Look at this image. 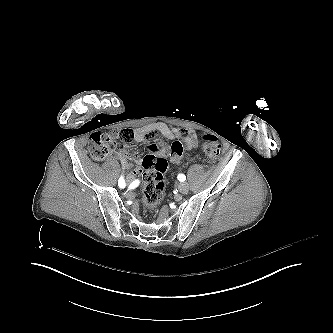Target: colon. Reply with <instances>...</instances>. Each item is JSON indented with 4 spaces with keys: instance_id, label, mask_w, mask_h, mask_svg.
I'll return each instance as SVG.
<instances>
[{
    "instance_id": "colon-1",
    "label": "colon",
    "mask_w": 333,
    "mask_h": 333,
    "mask_svg": "<svg viewBox=\"0 0 333 333\" xmlns=\"http://www.w3.org/2000/svg\"><path fill=\"white\" fill-rule=\"evenodd\" d=\"M158 135L156 129H149L146 134L139 133L135 137V144H142L145 140L152 141ZM120 139L124 143H133L134 133L130 129H124L120 133ZM118 135L114 131L102 129L95 133L89 140V152L93 159L102 160L114 151ZM161 143H152L147 146V153L142 160L143 183L139 190V195L143 199V207L146 211H153L162 200L164 183L162 173L167 167L166 154H171L174 159L181 160L185 155L183 146L180 142L169 145L166 139ZM204 152L211 158H216L220 154V148L215 139H209L203 146ZM155 154H150L154 153Z\"/></svg>"
}]
</instances>
